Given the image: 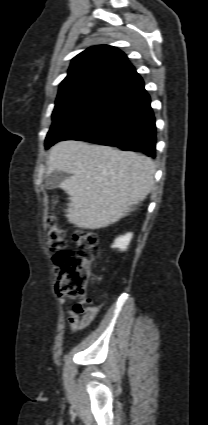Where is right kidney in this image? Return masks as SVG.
Here are the masks:
<instances>
[{
    "label": "right kidney",
    "instance_id": "right-kidney-1",
    "mask_svg": "<svg viewBox=\"0 0 208 425\" xmlns=\"http://www.w3.org/2000/svg\"><path fill=\"white\" fill-rule=\"evenodd\" d=\"M133 237L132 233H127L123 236H119L115 239L114 244L112 245L113 248H118L121 251H125Z\"/></svg>",
    "mask_w": 208,
    "mask_h": 425
}]
</instances>
